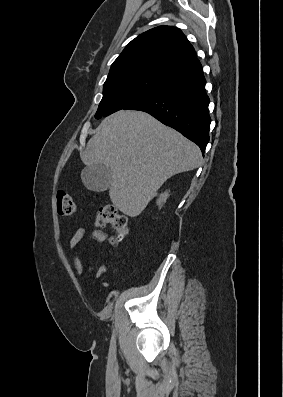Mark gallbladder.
<instances>
[{"label":"gallbladder","mask_w":283,"mask_h":397,"mask_svg":"<svg viewBox=\"0 0 283 397\" xmlns=\"http://www.w3.org/2000/svg\"><path fill=\"white\" fill-rule=\"evenodd\" d=\"M81 179L88 190L103 192L110 188L112 172L104 164L91 165L83 169Z\"/></svg>","instance_id":"bac80fb5"}]
</instances>
